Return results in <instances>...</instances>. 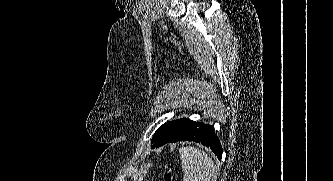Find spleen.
<instances>
[{
  "instance_id": "3e777b00",
  "label": "spleen",
  "mask_w": 333,
  "mask_h": 181,
  "mask_svg": "<svg viewBox=\"0 0 333 181\" xmlns=\"http://www.w3.org/2000/svg\"><path fill=\"white\" fill-rule=\"evenodd\" d=\"M183 181H213L217 168L212 158L195 147H182L179 150Z\"/></svg>"
}]
</instances>
